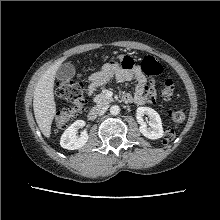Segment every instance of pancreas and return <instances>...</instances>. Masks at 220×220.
Here are the masks:
<instances>
[{
  "mask_svg": "<svg viewBox=\"0 0 220 220\" xmlns=\"http://www.w3.org/2000/svg\"><path fill=\"white\" fill-rule=\"evenodd\" d=\"M112 101L111 98H108L104 93H100L95 96L94 102L97 103L98 107L109 104Z\"/></svg>",
  "mask_w": 220,
  "mask_h": 220,
  "instance_id": "1",
  "label": "pancreas"
}]
</instances>
